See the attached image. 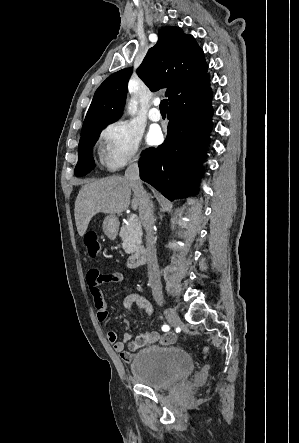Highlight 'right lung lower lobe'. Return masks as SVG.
I'll use <instances>...</instances> for the list:
<instances>
[{
  "label": "right lung lower lobe",
  "instance_id": "obj_1",
  "mask_svg": "<svg viewBox=\"0 0 299 443\" xmlns=\"http://www.w3.org/2000/svg\"><path fill=\"white\" fill-rule=\"evenodd\" d=\"M209 75L169 103L164 143L148 148L139 160L140 178L169 200L196 194L201 164L212 129Z\"/></svg>",
  "mask_w": 299,
  "mask_h": 443
}]
</instances>
